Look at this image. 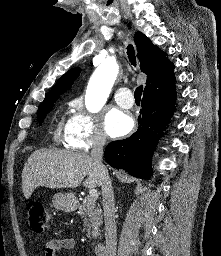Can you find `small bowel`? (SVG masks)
Returning a JSON list of instances; mask_svg holds the SVG:
<instances>
[{
	"label": "small bowel",
	"mask_w": 221,
	"mask_h": 256,
	"mask_svg": "<svg viewBox=\"0 0 221 256\" xmlns=\"http://www.w3.org/2000/svg\"><path fill=\"white\" fill-rule=\"evenodd\" d=\"M75 246V239L69 237L50 240L44 245L43 256H55L57 251L73 250Z\"/></svg>",
	"instance_id": "c3829d8e"
}]
</instances>
